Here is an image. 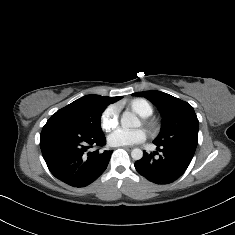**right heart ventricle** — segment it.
Listing matches in <instances>:
<instances>
[{"instance_id": "right-heart-ventricle-1", "label": "right heart ventricle", "mask_w": 235, "mask_h": 235, "mask_svg": "<svg viewBox=\"0 0 235 235\" xmlns=\"http://www.w3.org/2000/svg\"><path fill=\"white\" fill-rule=\"evenodd\" d=\"M128 106L142 117H149L153 113L152 104L143 98L131 99Z\"/></svg>"}]
</instances>
